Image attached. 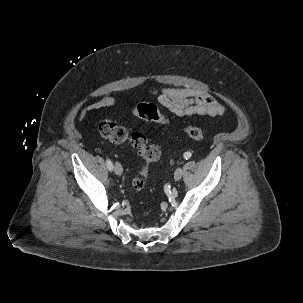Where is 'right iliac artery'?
<instances>
[{
    "instance_id": "1",
    "label": "right iliac artery",
    "mask_w": 303,
    "mask_h": 303,
    "mask_svg": "<svg viewBox=\"0 0 303 303\" xmlns=\"http://www.w3.org/2000/svg\"><path fill=\"white\" fill-rule=\"evenodd\" d=\"M106 165H107V168L112 171L113 170V163L110 159H107L106 160Z\"/></svg>"
}]
</instances>
